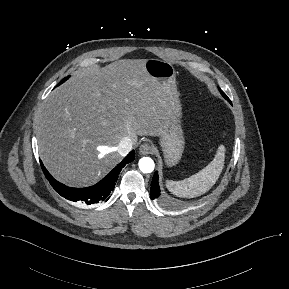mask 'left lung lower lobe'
I'll return each instance as SVG.
<instances>
[{"mask_svg": "<svg viewBox=\"0 0 289 289\" xmlns=\"http://www.w3.org/2000/svg\"><path fill=\"white\" fill-rule=\"evenodd\" d=\"M224 98H226L230 103L231 101L229 100V98L225 95L223 96ZM159 176H158V172L156 171L154 173L153 179H152V184H151V199H156L160 196V187H159Z\"/></svg>", "mask_w": 289, "mask_h": 289, "instance_id": "1", "label": "left lung lower lobe"}]
</instances>
